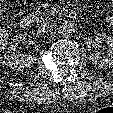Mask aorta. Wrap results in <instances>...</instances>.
Returning a JSON list of instances; mask_svg holds the SVG:
<instances>
[{
    "mask_svg": "<svg viewBox=\"0 0 113 113\" xmlns=\"http://www.w3.org/2000/svg\"><path fill=\"white\" fill-rule=\"evenodd\" d=\"M77 30V26L72 21H64L60 26V33L64 37H71L73 34H75Z\"/></svg>",
    "mask_w": 113,
    "mask_h": 113,
    "instance_id": "762f6f07",
    "label": "aorta"
}]
</instances>
